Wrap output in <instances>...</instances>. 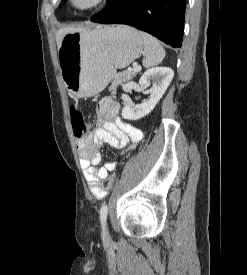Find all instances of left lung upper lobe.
<instances>
[{"instance_id": "1", "label": "left lung upper lobe", "mask_w": 247, "mask_h": 275, "mask_svg": "<svg viewBox=\"0 0 247 275\" xmlns=\"http://www.w3.org/2000/svg\"><path fill=\"white\" fill-rule=\"evenodd\" d=\"M111 0H107V3H109Z\"/></svg>"}]
</instances>
